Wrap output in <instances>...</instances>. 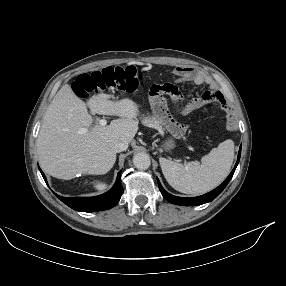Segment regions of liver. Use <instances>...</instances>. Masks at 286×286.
<instances>
[{
  "mask_svg": "<svg viewBox=\"0 0 286 286\" xmlns=\"http://www.w3.org/2000/svg\"><path fill=\"white\" fill-rule=\"evenodd\" d=\"M92 114L113 115L110 125L91 127ZM138 105L129 98L112 101L106 94L82 101L66 84L57 92L37 138L42 169L49 175L70 180L76 174L107 173L116 161V141L131 142L138 131Z\"/></svg>",
  "mask_w": 286,
  "mask_h": 286,
  "instance_id": "1",
  "label": "liver"
}]
</instances>
